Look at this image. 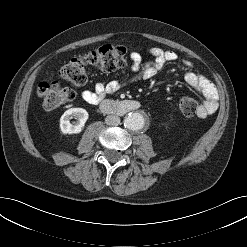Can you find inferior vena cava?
Returning a JSON list of instances; mask_svg holds the SVG:
<instances>
[{
	"instance_id": "1",
	"label": "inferior vena cava",
	"mask_w": 247,
	"mask_h": 247,
	"mask_svg": "<svg viewBox=\"0 0 247 247\" xmlns=\"http://www.w3.org/2000/svg\"><path fill=\"white\" fill-rule=\"evenodd\" d=\"M105 123L110 126H117L120 124V117L117 115H108L105 118Z\"/></svg>"
}]
</instances>
